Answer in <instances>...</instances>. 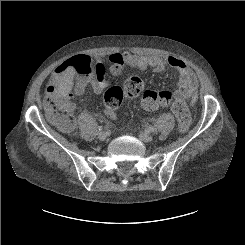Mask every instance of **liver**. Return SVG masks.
Returning a JSON list of instances; mask_svg holds the SVG:
<instances>
[{"label":"liver","instance_id":"1","mask_svg":"<svg viewBox=\"0 0 245 245\" xmlns=\"http://www.w3.org/2000/svg\"><path fill=\"white\" fill-rule=\"evenodd\" d=\"M74 75L73 69H69L63 76L61 86L59 88V93L65 94L71 90L72 87V78Z\"/></svg>","mask_w":245,"mask_h":245}]
</instances>
